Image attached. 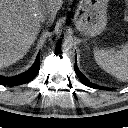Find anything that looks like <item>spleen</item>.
<instances>
[{"label":"spleen","instance_id":"obj_1","mask_svg":"<svg viewBox=\"0 0 128 128\" xmlns=\"http://www.w3.org/2000/svg\"><path fill=\"white\" fill-rule=\"evenodd\" d=\"M97 64L120 81H128V43L118 51L94 50Z\"/></svg>","mask_w":128,"mask_h":128}]
</instances>
